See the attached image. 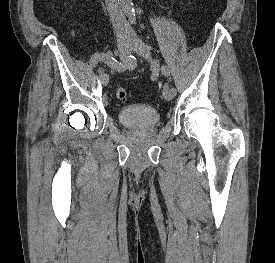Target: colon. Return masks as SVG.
<instances>
[{
    "label": "colon",
    "instance_id": "obj_1",
    "mask_svg": "<svg viewBox=\"0 0 275 263\" xmlns=\"http://www.w3.org/2000/svg\"><path fill=\"white\" fill-rule=\"evenodd\" d=\"M116 97L119 100H126L128 97V93L124 88H117L116 90Z\"/></svg>",
    "mask_w": 275,
    "mask_h": 263
}]
</instances>
